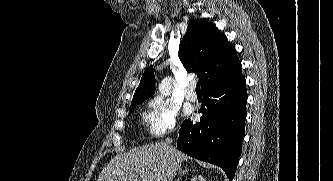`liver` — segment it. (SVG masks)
Returning <instances> with one entry per match:
<instances>
[{
  "label": "liver",
  "instance_id": "liver-1",
  "mask_svg": "<svg viewBox=\"0 0 333 181\" xmlns=\"http://www.w3.org/2000/svg\"><path fill=\"white\" fill-rule=\"evenodd\" d=\"M188 156L164 143L148 144L115 156L97 181H172Z\"/></svg>",
  "mask_w": 333,
  "mask_h": 181
}]
</instances>
